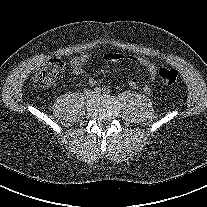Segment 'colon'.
Returning a JSON list of instances; mask_svg holds the SVG:
<instances>
[{"mask_svg": "<svg viewBox=\"0 0 207 207\" xmlns=\"http://www.w3.org/2000/svg\"><path fill=\"white\" fill-rule=\"evenodd\" d=\"M64 69V63L53 58L49 60L35 75L34 84L39 88H46L55 83ZM159 77L164 85L173 86L178 79V72L172 68H163L159 71Z\"/></svg>", "mask_w": 207, "mask_h": 207, "instance_id": "obj_1", "label": "colon"}]
</instances>
